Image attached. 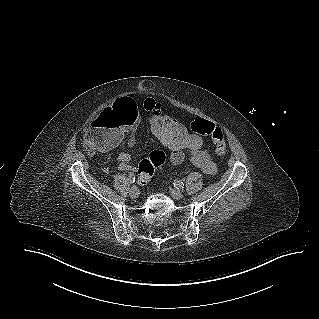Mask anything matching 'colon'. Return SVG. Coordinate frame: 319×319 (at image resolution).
Segmentation results:
<instances>
[{
	"mask_svg": "<svg viewBox=\"0 0 319 319\" xmlns=\"http://www.w3.org/2000/svg\"><path fill=\"white\" fill-rule=\"evenodd\" d=\"M206 121L203 118L193 120V128L204 135H192V131L188 127L178 124L170 115L159 112L152 114L148 118L147 129L152 135L158 137L161 142L182 153L202 151L206 147L207 137H209L215 145L216 153L222 156L227 149L225 132L220 127H216ZM84 146L88 151H94L88 146L86 138ZM166 159L167 156L164 151H152L138 165V182L146 184L156 169L164 166Z\"/></svg>",
	"mask_w": 319,
	"mask_h": 319,
	"instance_id": "1",
	"label": "colon"
}]
</instances>
